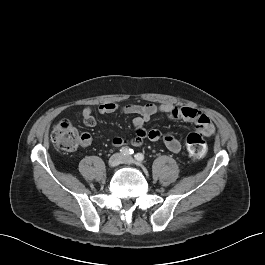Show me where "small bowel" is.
Masks as SVG:
<instances>
[{
	"mask_svg": "<svg viewBox=\"0 0 265 265\" xmlns=\"http://www.w3.org/2000/svg\"><path fill=\"white\" fill-rule=\"evenodd\" d=\"M118 109H121L124 114H135L138 116L133 120V127L136 133L135 137L131 140H127L119 136H114L111 143L115 147H121L127 144L138 147L148 139L154 142L161 141L171 152L178 153L181 150V143L172 134L164 133L159 129L147 130L145 128V124L158 113H164L172 118L192 122L196 125L197 130L205 136H211L215 131L210 118L192 107H178L172 104L156 105L152 103L145 105L127 104L120 107L118 104L112 102L101 104L98 107L99 112L102 114H111ZM81 116L86 126L93 127L97 124L91 108H84L81 112ZM91 141V136L88 133L82 134L81 143L83 146H89Z\"/></svg>",
	"mask_w": 265,
	"mask_h": 265,
	"instance_id": "c3829d8e",
	"label": "small bowel"
}]
</instances>
